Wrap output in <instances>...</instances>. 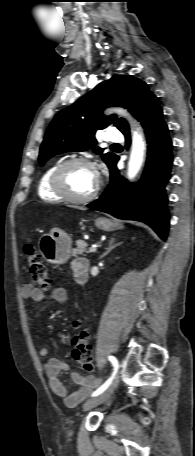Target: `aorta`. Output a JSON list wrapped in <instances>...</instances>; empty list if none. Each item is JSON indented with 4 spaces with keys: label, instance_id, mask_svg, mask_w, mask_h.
I'll return each instance as SVG.
<instances>
[{
    "label": "aorta",
    "instance_id": "aorta-1",
    "mask_svg": "<svg viewBox=\"0 0 195 456\" xmlns=\"http://www.w3.org/2000/svg\"><path fill=\"white\" fill-rule=\"evenodd\" d=\"M116 112L127 115L121 109H117ZM145 149H146V145H145V141L143 139L142 134H140L137 131H134L133 141H132V150H131V154H130V159H129V163H128V172H127L129 179H133L137 175L138 171L140 170L142 163H143V159H144Z\"/></svg>",
    "mask_w": 195,
    "mask_h": 456
}]
</instances>
